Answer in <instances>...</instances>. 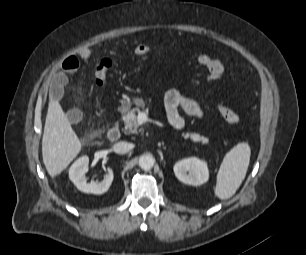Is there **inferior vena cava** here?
<instances>
[{
    "label": "inferior vena cava",
    "instance_id": "obj_1",
    "mask_svg": "<svg viewBox=\"0 0 306 255\" xmlns=\"http://www.w3.org/2000/svg\"><path fill=\"white\" fill-rule=\"evenodd\" d=\"M132 148H133V145L128 142H118L114 144L113 146L114 152L118 154H125L129 152Z\"/></svg>",
    "mask_w": 306,
    "mask_h": 255
}]
</instances>
